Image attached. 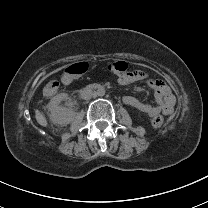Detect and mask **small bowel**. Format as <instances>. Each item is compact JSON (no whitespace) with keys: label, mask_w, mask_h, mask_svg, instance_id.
<instances>
[{"label":"small bowel","mask_w":208,"mask_h":208,"mask_svg":"<svg viewBox=\"0 0 208 208\" xmlns=\"http://www.w3.org/2000/svg\"><path fill=\"white\" fill-rule=\"evenodd\" d=\"M146 78L147 73L145 71L136 70L129 72L125 77L119 78V82L122 85H128L134 82L143 81ZM148 84L155 93V105L140 101L134 96H125L124 102L151 117L159 114L165 116L171 114L175 105V97L170 88L161 80H152L149 81Z\"/></svg>","instance_id":"c3829d8e"}]
</instances>
